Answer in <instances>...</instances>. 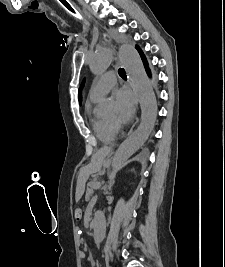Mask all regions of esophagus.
Masks as SVG:
<instances>
[{
	"label": "esophagus",
	"mask_w": 225,
	"mask_h": 267,
	"mask_svg": "<svg viewBox=\"0 0 225 267\" xmlns=\"http://www.w3.org/2000/svg\"><path fill=\"white\" fill-rule=\"evenodd\" d=\"M104 37L107 38L109 44L113 45V42H112V39H111L110 36H108V35H104Z\"/></svg>",
	"instance_id": "34e87169"
}]
</instances>
